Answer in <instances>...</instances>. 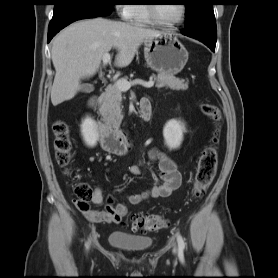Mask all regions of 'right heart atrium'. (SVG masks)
Wrapping results in <instances>:
<instances>
[{"label":"right heart atrium","instance_id":"1","mask_svg":"<svg viewBox=\"0 0 278 278\" xmlns=\"http://www.w3.org/2000/svg\"><path fill=\"white\" fill-rule=\"evenodd\" d=\"M116 11L120 18H122L123 20H129L132 14V5L119 4L116 6Z\"/></svg>","mask_w":278,"mask_h":278}]
</instances>
